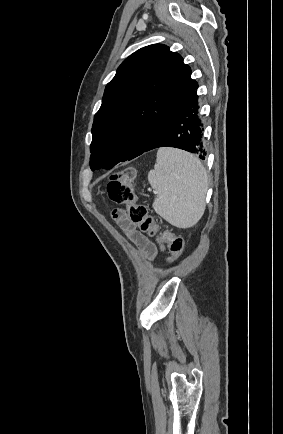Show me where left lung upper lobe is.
Listing matches in <instances>:
<instances>
[{
    "mask_svg": "<svg viewBox=\"0 0 283 434\" xmlns=\"http://www.w3.org/2000/svg\"><path fill=\"white\" fill-rule=\"evenodd\" d=\"M191 69L166 45L143 47L117 69L94 116L90 167L141 155L168 115L195 89Z\"/></svg>",
    "mask_w": 283,
    "mask_h": 434,
    "instance_id": "left-lung-upper-lobe-1",
    "label": "left lung upper lobe"
}]
</instances>
